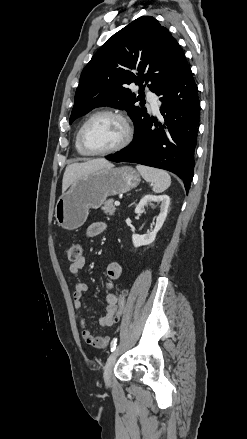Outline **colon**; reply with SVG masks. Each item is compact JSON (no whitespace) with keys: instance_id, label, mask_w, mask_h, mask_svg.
I'll return each mask as SVG.
<instances>
[{"instance_id":"colon-1","label":"colon","mask_w":247,"mask_h":439,"mask_svg":"<svg viewBox=\"0 0 247 439\" xmlns=\"http://www.w3.org/2000/svg\"><path fill=\"white\" fill-rule=\"evenodd\" d=\"M83 253L82 246L78 243H74L68 249V259L70 261H77ZM127 294L125 291L121 292L115 309L114 319L118 320L121 314L123 313L126 306Z\"/></svg>"}]
</instances>
